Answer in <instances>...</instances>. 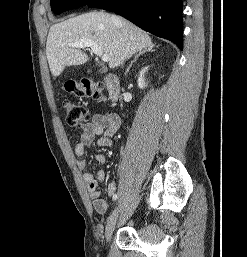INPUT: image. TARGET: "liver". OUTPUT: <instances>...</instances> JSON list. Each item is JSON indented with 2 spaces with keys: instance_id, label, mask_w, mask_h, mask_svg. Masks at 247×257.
<instances>
[{
  "instance_id": "obj_1",
  "label": "liver",
  "mask_w": 247,
  "mask_h": 257,
  "mask_svg": "<svg viewBox=\"0 0 247 257\" xmlns=\"http://www.w3.org/2000/svg\"><path fill=\"white\" fill-rule=\"evenodd\" d=\"M89 39L110 56L109 67L115 68L136 52L153 48L148 33L131 22L103 11L89 12L51 26L46 43V56L53 76H59L66 66L82 65L88 55L69 43Z\"/></svg>"
}]
</instances>
